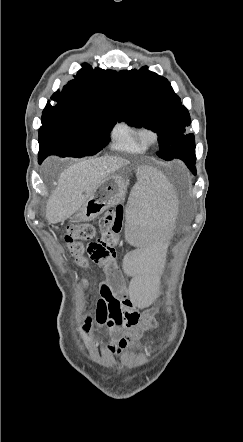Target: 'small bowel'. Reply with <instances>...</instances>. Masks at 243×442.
I'll return each instance as SVG.
<instances>
[{
	"label": "small bowel",
	"mask_w": 243,
	"mask_h": 442,
	"mask_svg": "<svg viewBox=\"0 0 243 442\" xmlns=\"http://www.w3.org/2000/svg\"><path fill=\"white\" fill-rule=\"evenodd\" d=\"M107 280L99 286L100 297L93 311H86L82 318L81 331L89 333L92 324L103 329L109 342L104 347L108 355L121 356L131 347L138 346L146 332L157 327L155 311L139 314L134 303L127 296V289L116 259L99 262Z\"/></svg>",
	"instance_id": "obj_1"
}]
</instances>
